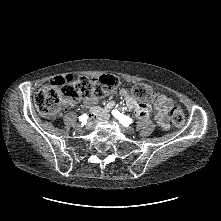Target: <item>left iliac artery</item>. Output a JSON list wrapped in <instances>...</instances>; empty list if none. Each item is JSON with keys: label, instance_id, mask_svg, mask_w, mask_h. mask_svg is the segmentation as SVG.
Segmentation results:
<instances>
[{"label": "left iliac artery", "instance_id": "obj_1", "mask_svg": "<svg viewBox=\"0 0 221 221\" xmlns=\"http://www.w3.org/2000/svg\"><path fill=\"white\" fill-rule=\"evenodd\" d=\"M112 115L115 118H117L123 126H129V124H131V122H132L131 118H129L128 116H126L124 114L119 113L118 110H113Z\"/></svg>", "mask_w": 221, "mask_h": 221}]
</instances>
